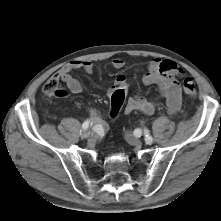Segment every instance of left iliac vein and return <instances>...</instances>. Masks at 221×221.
Returning a JSON list of instances; mask_svg holds the SVG:
<instances>
[{
	"mask_svg": "<svg viewBox=\"0 0 221 221\" xmlns=\"http://www.w3.org/2000/svg\"><path fill=\"white\" fill-rule=\"evenodd\" d=\"M124 137L126 141L133 146L140 147L142 145L141 140L137 138L131 131H126ZM152 142H153V139L151 140L149 144H152Z\"/></svg>",
	"mask_w": 221,
	"mask_h": 221,
	"instance_id": "obj_1",
	"label": "left iliac vein"
}]
</instances>
